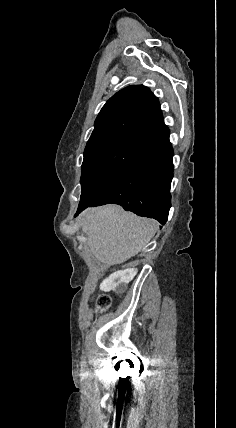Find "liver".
Segmentation results:
<instances>
[{"instance_id": "liver-1", "label": "liver", "mask_w": 236, "mask_h": 428, "mask_svg": "<svg viewBox=\"0 0 236 428\" xmlns=\"http://www.w3.org/2000/svg\"><path fill=\"white\" fill-rule=\"evenodd\" d=\"M82 230L95 258L114 266L137 256L155 236L158 224L124 212L121 206H103L83 212Z\"/></svg>"}]
</instances>
